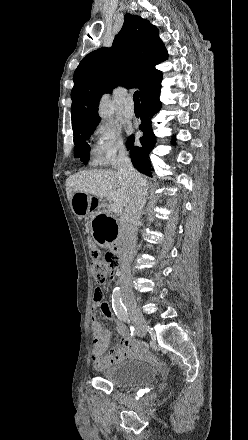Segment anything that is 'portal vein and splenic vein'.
<instances>
[{"label":"portal vein and splenic vein","instance_id":"obj_1","mask_svg":"<svg viewBox=\"0 0 248 440\" xmlns=\"http://www.w3.org/2000/svg\"><path fill=\"white\" fill-rule=\"evenodd\" d=\"M123 210L122 205L118 203H112L109 205V211L113 213H121Z\"/></svg>","mask_w":248,"mask_h":440}]
</instances>
